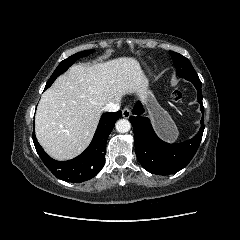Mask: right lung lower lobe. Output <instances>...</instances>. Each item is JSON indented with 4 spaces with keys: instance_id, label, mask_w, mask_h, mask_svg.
Listing matches in <instances>:
<instances>
[{
    "instance_id": "obj_1",
    "label": "right lung lower lobe",
    "mask_w": 240,
    "mask_h": 240,
    "mask_svg": "<svg viewBox=\"0 0 240 240\" xmlns=\"http://www.w3.org/2000/svg\"><path fill=\"white\" fill-rule=\"evenodd\" d=\"M121 113V111L104 113L91 144L81 155L72 160L59 162L50 158L38 143L33 132L36 151L43 163L55 176L68 182L89 180L104 167L106 142Z\"/></svg>"
}]
</instances>
